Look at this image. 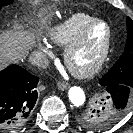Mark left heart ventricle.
<instances>
[{
  "label": "left heart ventricle",
  "instance_id": "b2bd125f",
  "mask_svg": "<svg viewBox=\"0 0 133 133\" xmlns=\"http://www.w3.org/2000/svg\"><path fill=\"white\" fill-rule=\"evenodd\" d=\"M106 38V28L102 24L94 25L87 34L84 43L74 53L72 63L76 68L86 69L98 58Z\"/></svg>",
  "mask_w": 133,
  "mask_h": 133
}]
</instances>
